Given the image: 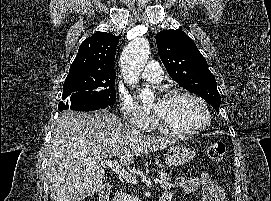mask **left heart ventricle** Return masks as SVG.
I'll use <instances>...</instances> for the list:
<instances>
[{
    "instance_id": "left-heart-ventricle-1",
    "label": "left heart ventricle",
    "mask_w": 271,
    "mask_h": 201,
    "mask_svg": "<svg viewBox=\"0 0 271 201\" xmlns=\"http://www.w3.org/2000/svg\"><path fill=\"white\" fill-rule=\"evenodd\" d=\"M153 111L168 125L181 131L196 129L206 122L202 106L184 96L158 100L153 104Z\"/></svg>"
}]
</instances>
